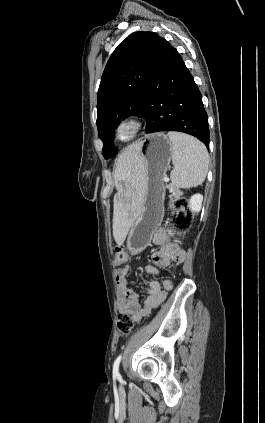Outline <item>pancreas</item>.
<instances>
[{"label": "pancreas", "mask_w": 265, "mask_h": 423, "mask_svg": "<svg viewBox=\"0 0 265 423\" xmlns=\"http://www.w3.org/2000/svg\"><path fill=\"white\" fill-rule=\"evenodd\" d=\"M169 188L171 190V192L173 193V196L178 199L180 196V192L178 189L174 188L172 185H169Z\"/></svg>", "instance_id": "1"}]
</instances>
